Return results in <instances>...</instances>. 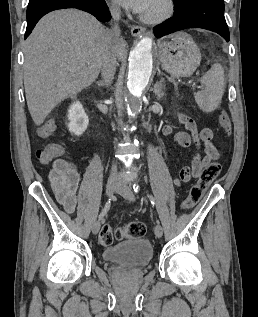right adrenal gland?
Wrapping results in <instances>:
<instances>
[{
    "label": "right adrenal gland",
    "mask_w": 258,
    "mask_h": 317,
    "mask_svg": "<svg viewBox=\"0 0 258 317\" xmlns=\"http://www.w3.org/2000/svg\"><path fill=\"white\" fill-rule=\"evenodd\" d=\"M96 84H98V86H104L105 82H103V80H97Z\"/></svg>",
    "instance_id": "obj_1"
}]
</instances>
